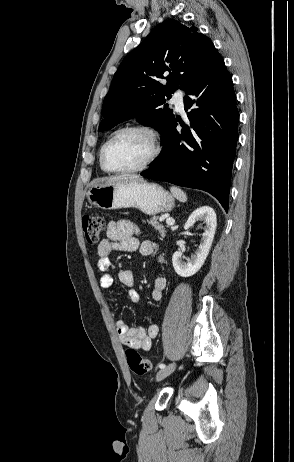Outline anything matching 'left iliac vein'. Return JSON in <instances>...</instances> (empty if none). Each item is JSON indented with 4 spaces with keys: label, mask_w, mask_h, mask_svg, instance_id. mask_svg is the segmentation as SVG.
<instances>
[{
    "label": "left iliac vein",
    "mask_w": 294,
    "mask_h": 462,
    "mask_svg": "<svg viewBox=\"0 0 294 462\" xmlns=\"http://www.w3.org/2000/svg\"><path fill=\"white\" fill-rule=\"evenodd\" d=\"M176 368V364H171L165 369H161L157 372L156 380L160 381L170 375Z\"/></svg>",
    "instance_id": "obj_1"
}]
</instances>
